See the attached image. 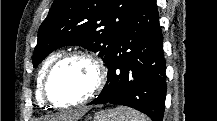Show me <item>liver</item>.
Returning a JSON list of instances; mask_svg holds the SVG:
<instances>
[{"label":"liver","instance_id":"1","mask_svg":"<svg viewBox=\"0 0 217 121\" xmlns=\"http://www.w3.org/2000/svg\"><path fill=\"white\" fill-rule=\"evenodd\" d=\"M67 115H60V117H58L57 119H59V121H65Z\"/></svg>","mask_w":217,"mask_h":121}]
</instances>
